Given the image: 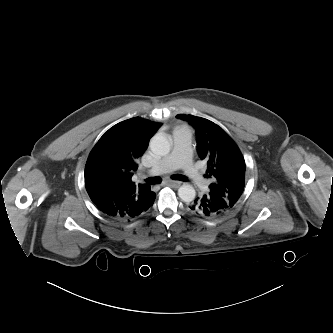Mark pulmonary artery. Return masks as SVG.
I'll return each instance as SVG.
<instances>
[{
	"label": "pulmonary artery",
	"mask_w": 333,
	"mask_h": 333,
	"mask_svg": "<svg viewBox=\"0 0 333 333\" xmlns=\"http://www.w3.org/2000/svg\"><path fill=\"white\" fill-rule=\"evenodd\" d=\"M173 149L150 170L152 175H160L181 168L187 177L198 187H203L206 180L192 162L191 131L188 128H178L173 131Z\"/></svg>",
	"instance_id": "e3ab8cb5"
}]
</instances>
